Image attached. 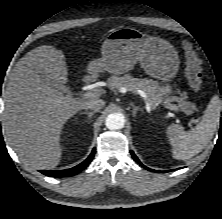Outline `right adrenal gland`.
<instances>
[{"instance_id": "right-adrenal-gland-1", "label": "right adrenal gland", "mask_w": 222, "mask_h": 219, "mask_svg": "<svg viewBox=\"0 0 222 219\" xmlns=\"http://www.w3.org/2000/svg\"><path fill=\"white\" fill-rule=\"evenodd\" d=\"M95 113V111H91V112H87V111H85V112H81L80 114H86V115H88V118H89V120L92 118V116H93V114Z\"/></svg>"}]
</instances>
